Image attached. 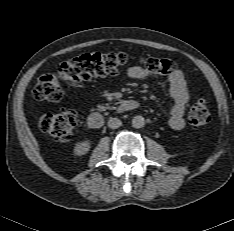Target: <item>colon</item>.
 <instances>
[{
    "label": "colon",
    "mask_w": 234,
    "mask_h": 231,
    "mask_svg": "<svg viewBox=\"0 0 234 231\" xmlns=\"http://www.w3.org/2000/svg\"><path fill=\"white\" fill-rule=\"evenodd\" d=\"M127 61V56L120 52L81 54L63 62L57 72L39 77L33 94L39 100L58 101L63 95L65 83L78 84L94 77L117 74ZM139 64L143 69L159 76L171 75L175 71L174 63L167 59L143 57L139 59ZM209 121L210 113L206 101L197 99L190 108L189 122L201 127ZM76 124L77 113L70 109L46 114L40 120L41 130L57 142L69 141Z\"/></svg>",
    "instance_id": "colon-1"
}]
</instances>
